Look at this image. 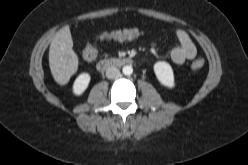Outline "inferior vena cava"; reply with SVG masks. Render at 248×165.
<instances>
[{
  "instance_id": "inferior-vena-cava-1",
  "label": "inferior vena cava",
  "mask_w": 248,
  "mask_h": 165,
  "mask_svg": "<svg viewBox=\"0 0 248 165\" xmlns=\"http://www.w3.org/2000/svg\"><path fill=\"white\" fill-rule=\"evenodd\" d=\"M120 76V71L116 67H109L106 70V77L108 79L118 78Z\"/></svg>"
}]
</instances>
